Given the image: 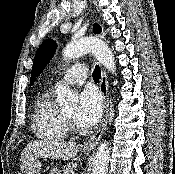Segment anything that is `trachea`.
Listing matches in <instances>:
<instances>
[{"instance_id": "trachea-1", "label": "trachea", "mask_w": 175, "mask_h": 174, "mask_svg": "<svg viewBox=\"0 0 175 174\" xmlns=\"http://www.w3.org/2000/svg\"><path fill=\"white\" fill-rule=\"evenodd\" d=\"M100 78H101V71L99 66L96 65L95 70L93 71V79L95 81H99Z\"/></svg>"}]
</instances>
